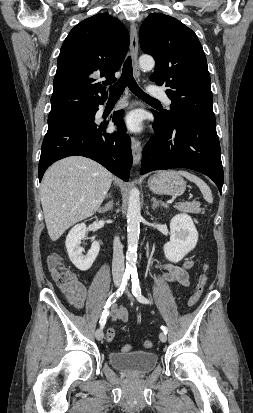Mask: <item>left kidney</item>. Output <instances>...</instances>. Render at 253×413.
Segmentation results:
<instances>
[{"mask_svg":"<svg viewBox=\"0 0 253 413\" xmlns=\"http://www.w3.org/2000/svg\"><path fill=\"white\" fill-rule=\"evenodd\" d=\"M198 241V232L187 214H178L170 222V241L164 245L166 259L178 263L193 250Z\"/></svg>","mask_w":253,"mask_h":413,"instance_id":"left-kidney-1","label":"left kidney"}]
</instances>
